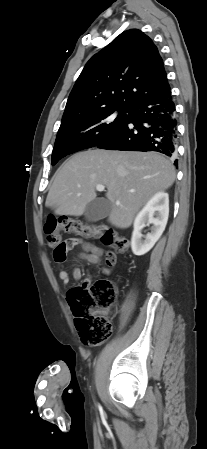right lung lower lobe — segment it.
Returning a JSON list of instances; mask_svg holds the SVG:
<instances>
[{"label":"right lung lower lobe","instance_id":"1","mask_svg":"<svg viewBox=\"0 0 207 449\" xmlns=\"http://www.w3.org/2000/svg\"><path fill=\"white\" fill-rule=\"evenodd\" d=\"M176 142V109L171 90H168L132 107L126 123L97 147L108 150L157 151L174 158ZM174 164H177V160Z\"/></svg>","mask_w":207,"mask_h":449}]
</instances>
